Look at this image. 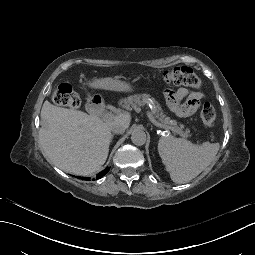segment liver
I'll return each mask as SVG.
<instances>
[{
  "label": "liver",
  "mask_w": 255,
  "mask_h": 255,
  "mask_svg": "<svg viewBox=\"0 0 255 255\" xmlns=\"http://www.w3.org/2000/svg\"><path fill=\"white\" fill-rule=\"evenodd\" d=\"M108 89L118 91L116 78H102ZM40 143L44 154L56 167L77 175L94 173L106 162L113 135L110 126L123 122L130 126L132 115L120 110L108 121L83 111L63 108L46 100L40 114Z\"/></svg>",
  "instance_id": "1"
}]
</instances>
